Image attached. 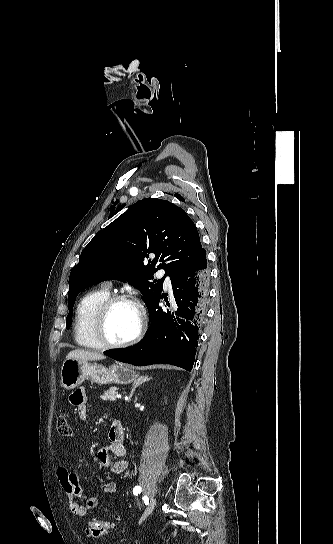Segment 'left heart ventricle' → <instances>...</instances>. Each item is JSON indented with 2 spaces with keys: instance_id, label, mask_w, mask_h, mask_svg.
Listing matches in <instances>:
<instances>
[{
  "instance_id": "1",
  "label": "left heart ventricle",
  "mask_w": 333,
  "mask_h": 544,
  "mask_svg": "<svg viewBox=\"0 0 333 544\" xmlns=\"http://www.w3.org/2000/svg\"><path fill=\"white\" fill-rule=\"evenodd\" d=\"M138 325L139 314L136 308L129 303H117L107 316L106 336L112 342L125 341L134 335Z\"/></svg>"
}]
</instances>
